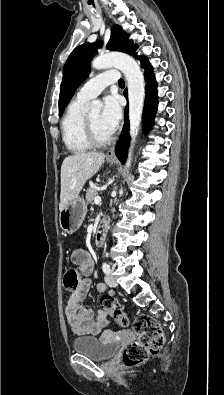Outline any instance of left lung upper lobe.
<instances>
[{"mask_svg": "<svg viewBox=\"0 0 224 395\" xmlns=\"http://www.w3.org/2000/svg\"><path fill=\"white\" fill-rule=\"evenodd\" d=\"M101 46L100 42L84 43L73 50L65 63L63 79L60 87L59 96V115L61 116L64 108L72 98L75 90L90 72V61ZM107 48L113 51H121L134 55L137 45H134L129 36L118 25L112 27L111 37Z\"/></svg>", "mask_w": 224, "mask_h": 395, "instance_id": "5c2ea615", "label": "left lung upper lobe"}]
</instances>
